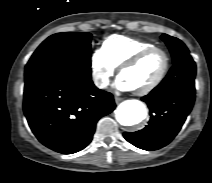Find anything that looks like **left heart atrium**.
<instances>
[{"label": "left heart atrium", "instance_id": "1", "mask_svg": "<svg viewBox=\"0 0 212 183\" xmlns=\"http://www.w3.org/2000/svg\"><path fill=\"white\" fill-rule=\"evenodd\" d=\"M115 85L121 91L132 90V88L128 85V83L121 76L118 77V79L116 80Z\"/></svg>", "mask_w": 212, "mask_h": 183}]
</instances>
